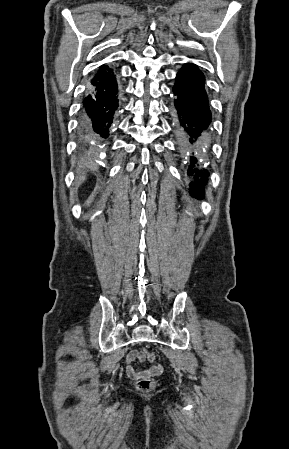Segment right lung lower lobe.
Listing matches in <instances>:
<instances>
[{"label": "right lung lower lobe", "instance_id": "obj_1", "mask_svg": "<svg viewBox=\"0 0 289 449\" xmlns=\"http://www.w3.org/2000/svg\"><path fill=\"white\" fill-rule=\"evenodd\" d=\"M80 129L86 139L102 143L113 127L118 109V88L113 71L106 65L91 80L82 103Z\"/></svg>", "mask_w": 289, "mask_h": 449}]
</instances>
